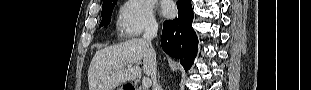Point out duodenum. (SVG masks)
I'll return each instance as SVG.
<instances>
[{
  "mask_svg": "<svg viewBox=\"0 0 311 90\" xmlns=\"http://www.w3.org/2000/svg\"><path fill=\"white\" fill-rule=\"evenodd\" d=\"M126 90H137L134 86H129Z\"/></svg>",
  "mask_w": 311,
  "mask_h": 90,
  "instance_id": "410a0bca",
  "label": "duodenum"
}]
</instances>
